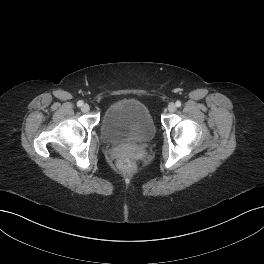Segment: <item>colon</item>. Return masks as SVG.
<instances>
[{
	"mask_svg": "<svg viewBox=\"0 0 264 264\" xmlns=\"http://www.w3.org/2000/svg\"><path fill=\"white\" fill-rule=\"evenodd\" d=\"M118 168L125 174H130L135 171V165L128 159H122L118 162Z\"/></svg>",
	"mask_w": 264,
	"mask_h": 264,
	"instance_id": "colon-1",
	"label": "colon"
}]
</instances>
